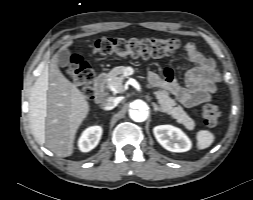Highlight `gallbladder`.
I'll use <instances>...</instances> for the list:
<instances>
[{
    "mask_svg": "<svg viewBox=\"0 0 253 200\" xmlns=\"http://www.w3.org/2000/svg\"><path fill=\"white\" fill-rule=\"evenodd\" d=\"M70 63V57L68 54L63 53L60 55L59 64L61 67H67Z\"/></svg>",
    "mask_w": 253,
    "mask_h": 200,
    "instance_id": "gallbladder-1",
    "label": "gallbladder"
}]
</instances>
